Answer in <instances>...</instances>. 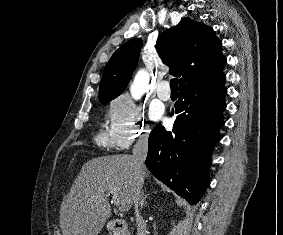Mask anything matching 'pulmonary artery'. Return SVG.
<instances>
[{"instance_id":"1","label":"pulmonary artery","mask_w":283,"mask_h":235,"mask_svg":"<svg viewBox=\"0 0 283 235\" xmlns=\"http://www.w3.org/2000/svg\"><path fill=\"white\" fill-rule=\"evenodd\" d=\"M156 93L159 99L162 101H168L171 98L169 82L167 80L161 81L157 87Z\"/></svg>"}]
</instances>
